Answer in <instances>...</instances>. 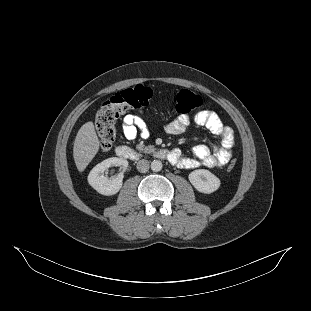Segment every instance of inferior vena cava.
Returning a JSON list of instances; mask_svg holds the SVG:
<instances>
[{"mask_svg": "<svg viewBox=\"0 0 311 311\" xmlns=\"http://www.w3.org/2000/svg\"><path fill=\"white\" fill-rule=\"evenodd\" d=\"M149 161L146 159H142L137 163V170L141 173H145L149 170Z\"/></svg>", "mask_w": 311, "mask_h": 311, "instance_id": "inferior-vena-cava-1", "label": "inferior vena cava"}]
</instances>
